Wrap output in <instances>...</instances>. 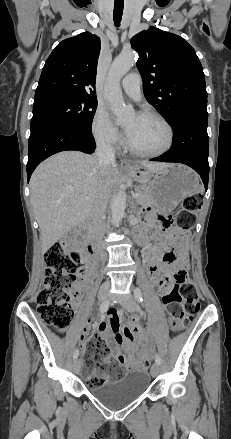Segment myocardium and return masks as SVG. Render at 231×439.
Returning a JSON list of instances; mask_svg holds the SVG:
<instances>
[{
  "mask_svg": "<svg viewBox=\"0 0 231 439\" xmlns=\"http://www.w3.org/2000/svg\"><path fill=\"white\" fill-rule=\"evenodd\" d=\"M139 116H145V117H152L157 119L158 121H160L164 127L167 130V142L166 144L155 151H150V152H146V151H140L138 149H135L134 147H132L129 143V141H126V147L127 149L134 155L138 156V157H142V158H154V157H158L161 156L163 154H165L166 152H168L173 144H174V129L171 125V123L168 121V119L163 116L161 113L155 111V110H143L142 112H140Z\"/></svg>",
  "mask_w": 231,
  "mask_h": 439,
  "instance_id": "1",
  "label": "myocardium"
}]
</instances>
